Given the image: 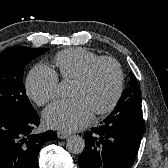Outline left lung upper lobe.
<instances>
[{
    "instance_id": "left-lung-upper-lobe-1",
    "label": "left lung upper lobe",
    "mask_w": 168,
    "mask_h": 168,
    "mask_svg": "<svg viewBox=\"0 0 168 168\" xmlns=\"http://www.w3.org/2000/svg\"><path fill=\"white\" fill-rule=\"evenodd\" d=\"M142 99L139 92V85L134 76V74L130 73V82L128 88H126L119 99L115 109L113 111H120L122 109L131 107L141 108Z\"/></svg>"
}]
</instances>
